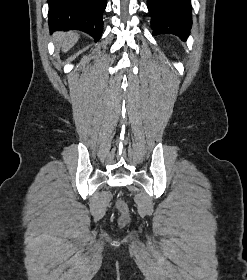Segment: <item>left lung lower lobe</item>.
Segmentation results:
<instances>
[{"label":"left lung lower lobe","mask_w":247,"mask_h":280,"mask_svg":"<svg viewBox=\"0 0 247 280\" xmlns=\"http://www.w3.org/2000/svg\"><path fill=\"white\" fill-rule=\"evenodd\" d=\"M147 7L152 35L174 34L183 40L188 38L192 27L190 0H147Z\"/></svg>","instance_id":"0a47b994"}]
</instances>
